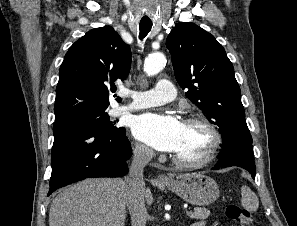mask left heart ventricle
Returning <instances> with one entry per match:
<instances>
[{
    "label": "left heart ventricle",
    "mask_w": 297,
    "mask_h": 226,
    "mask_svg": "<svg viewBox=\"0 0 297 226\" xmlns=\"http://www.w3.org/2000/svg\"><path fill=\"white\" fill-rule=\"evenodd\" d=\"M211 142L210 133L200 124H183L181 143L174 152L184 160H196L204 155Z\"/></svg>",
    "instance_id": "1"
}]
</instances>
